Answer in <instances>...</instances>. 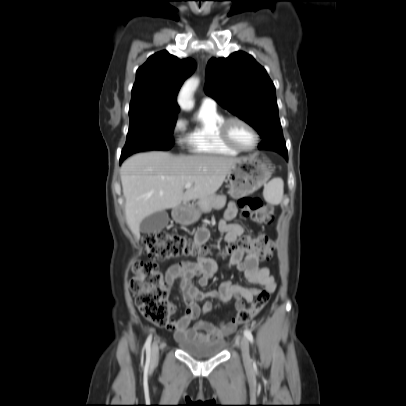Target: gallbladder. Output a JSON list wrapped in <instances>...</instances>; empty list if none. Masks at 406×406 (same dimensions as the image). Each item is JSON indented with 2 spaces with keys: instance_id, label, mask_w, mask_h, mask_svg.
I'll return each instance as SVG.
<instances>
[{
  "instance_id": "gallbladder-1",
  "label": "gallbladder",
  "mask_w": 406,
  "mask_h": 406,
  "mask_svg": "<svg viewBox=\"0 0 406 406\" xmlns=\"http://www.w3.org/2000/svg\"><path fill=\"white\" fill-rule=\"evenodd\" d=\"M169 222L168 213L165 210L155 212L147 216L140 224L142 233H156L167 226Z\"/></svg>"
}]
</instances>
